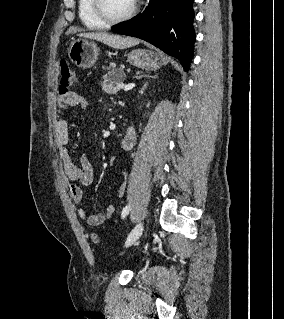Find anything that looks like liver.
<instances>
[{
    "label": "liver",
    "mask_w": 284,
    "mask_h": 319,
    "mask_svg": "<svg viewBox=\"0 0 284 319\" xmlns=\"http://www.w3.org/2000/svg\"><path fill=\"white\" fill-rule=\"evenodd\" d=\"M78 36L103 42L104 44L116 49H124L139 44V40L136 38L122 37L120 35H113L106 32L80 33Z\"/></svg>",
    "instance_id": "1"
}]
</instances>
